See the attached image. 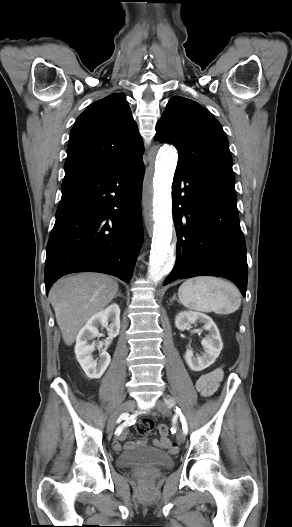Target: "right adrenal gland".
<instances>
[{"mask_svg": "<svg viewBox=\"0 0 292 527\" xmlns=\"http://www.w3.org/2000/svg\"><path fill=\"white\" fill-rule=\"evenodd\" d=\"M116 297H123L122 294L120 292H118V294L115 296Z\"/></svg>", "mask_w": 292, "mask_h": 527, "instance_id": "1", "label": "right adrenal gland"}]
</instances>
